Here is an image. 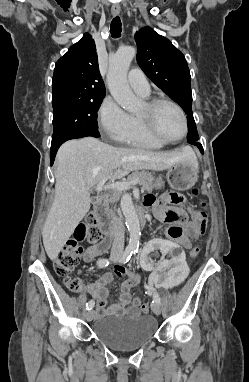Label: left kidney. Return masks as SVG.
<instances>
[{
  "instance_id": "left-kidney-1",
  "label": "left kidney",
  "mask_w": 249,
  "mask_h": 382,
  "mask_svg": "<svg viewBox=\"0 0 249 382\" xmlns=\"http://www.w3.org/2000/svg\"><path fill=\"white\" fill-rule=\"evenodd\" d=\"M174 240L164 237H152L148 245H142L143 254L139 255L138 267H143V273H151L150 283L154 287L181 288L183 281L189 277L190 267L182 245H175ZM154 257H166L165 260H153Z\"/></svg>"
}]
</instances>
